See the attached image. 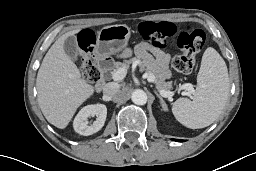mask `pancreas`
Here are the masks:
<instances>
[{"label":"pancreas","mask_w":256,"mask_h":171,"mask_svg":"<svg viewBox=\"0 0 256 171\" xmlns=\"http://www.w3.org/2000/svg\"><path fill=\"white\" fill-rule=\"evenodd\" d=\"M137 62L140 70L145 71L148 75L154 76L153 82L157 89L168 90L172 88V82L165 81V74L163 70L156 64L153 56L145 51L139 57H134L123 62H115L114 67L111 69V73L113 74L116 70L120 68L128 69L131 64Z\"/></svg>","instance_id":"1"}]
</instances>
